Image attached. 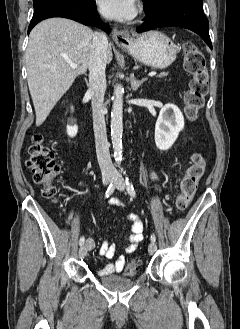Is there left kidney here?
<instances>
[{
  "label": "left kidney",
  "mask_w": 240,
  "mask_h": 329,
  "mask_svg": "<svg viewBox=\"0 0 240 329\" xmlns=\"http://www.w3.org/2000/svg\"><path fill=\"white\" fill-rule=\"evenodd\" d=\"M184 117L174 104L164 105L155 125V144L160 150H168L184 128Z\"/></svg>",
  "instance_id": "1"
}]
</instances>
